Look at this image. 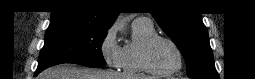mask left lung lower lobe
<instances>
[{
    "instance_id": "obj_1",
    "label": "left lung lower lobe",
    "mask_w": 255,
    "mask_h": 79,
    "mask_svg": "<svg viewBox=\"0 0 255 79\" xmlns=\"http://www.w3.org/2000/svg\"><path fill=\"white\" fill-rule=\"evenodd\" d=\"M205 79H219V77L216 76V77H210V78H205Z\"/></svg>"
}]
</instances>
